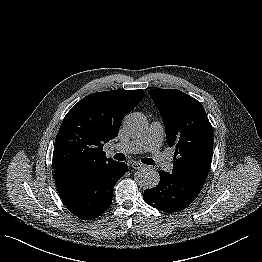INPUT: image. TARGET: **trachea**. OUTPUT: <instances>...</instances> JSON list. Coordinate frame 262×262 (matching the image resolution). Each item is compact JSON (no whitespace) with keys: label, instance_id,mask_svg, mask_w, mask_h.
I'll return each instance as SVG.
<instances>
[{"label":"trachea","instance_id":"3493384b","mask_svg":"<svg viewBox=\"0 0 262 262\" xmlns=\"http://www.w3.org/2000/svg\"><path fill=\"white\" fill-rule=\"evenodd\" d=\"M114 158L118 161H124L126 159V156L123 153H117V154L114 155ZM141 161L144 164H147V165H153L154 164V160L151 159V158H142Z\"/></svg>","mask_w":262,"mask_h":262}]
</instances>
